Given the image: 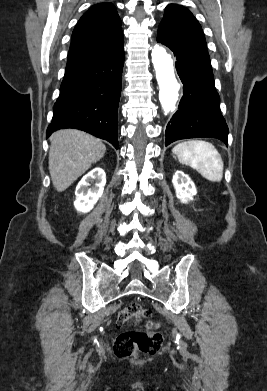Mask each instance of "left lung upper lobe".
<instances>
[{"instance_id":"5c2ea615","label":"left lung upper lobe","mask_w":267,"mask_h":391,"mask_svg":"<svg viewBox=\"0 0 267 391\" xmlns=\"http://www.w3.org/2000/svg\"><path fill=\"white\" fill-rule=\"evenodd\" d=\"M159 29L206 46V40L200 24L192 13L182 6L176 4L168 5Z\"/></svg>"}]
</instances>
